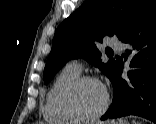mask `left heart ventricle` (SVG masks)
Listing matches in <instances>:
<instances>
[{
  "instance_id": "1",
  "label": "left heart ventricle",
  "mask_w": 156,
  "mask_h": 124,
  "mask_svg": "<svg viewBox=\"0 0 156 124\" xmlns=\"http://www.w3.org/2000/svg\"><path fill=\"white\" fill-rule=\"evenodd\" d=\"M104 100L105 92L101 85L85 82L73 92L71 104L81 115L89 116L102 107Z\"/></svg>"
}]
</instances>
